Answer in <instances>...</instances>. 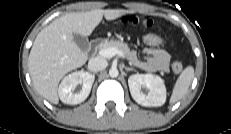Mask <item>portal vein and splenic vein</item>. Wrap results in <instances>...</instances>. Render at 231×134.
Instances as JSON below:
<instances>
[{
    "instance_id": "1",
    "label": "portal vein and splenic vein",
    "mask_w": 231,
    "mask_h": 134,
    "mask_svg": "<svg viewBox=\"0 0 231 134\" xmlns=\"http://www.w3.org/2000/svg\"><path fill=\"white\" fill-rule=\"evenodd\" d=\"M99 55H101L102 57H105V58H112L114 57L115 55H118L120 56L121 58H125V55L124 53L115 48V47H110V48H106V49H101L99 51Z\"/></svg>"
}]
</instances>
